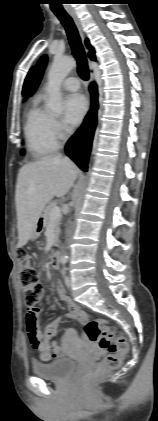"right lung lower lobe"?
<instances>
[{
	"mask_svg": "<svg viewBox=\"0 0 158 421\" xmlns=\"http://www.w3.org/2000/svg\"><path fill=\"white\" fill-rule=\"evenodd\" d=\"M93 96L91 110L76 133L66 144V154L83 170L87 171V162L91 149L92 139L97 124V87L95 83L90 85Z\"/></svg>",
	"mask_w": 158,
	"mask_h": 421,
	"instance_id": "obj_1",
	"label": "right lung lower lobe"
}]
</instances>
